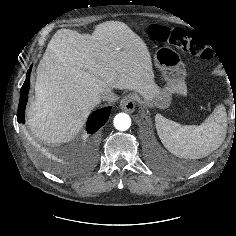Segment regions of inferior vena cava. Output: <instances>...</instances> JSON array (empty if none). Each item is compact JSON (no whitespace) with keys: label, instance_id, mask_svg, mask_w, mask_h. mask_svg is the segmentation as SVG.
I'll list each match as a JSON object with an SVG mask.
<instances>
[{"label":"inferior vena cava","instance_id":"inferior-vena-cava-1","mask_svg":"<svg viewBox=\"0 0 236 236\" xmlns=\"http://www.w3.org/2000/svg\"><path fill=\"white\" fill-rule=\"evenodd\" d=\"M101 99L107 102H114L118 100V96L112 91H107L101 95Z\"/></svg>","mask_w":236,"mask_h":236}]
</instances>
